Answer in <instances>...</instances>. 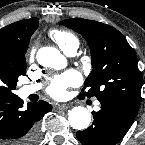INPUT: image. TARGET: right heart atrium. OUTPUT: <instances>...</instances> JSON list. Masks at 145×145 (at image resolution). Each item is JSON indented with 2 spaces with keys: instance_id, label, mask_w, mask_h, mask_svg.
<instances>
[{
  "instance_id": "right-heart-atrium-1",
  "label": "right heart atrium",
  "mask_w": 145,
  "mask_h": 145,
  "mask_svg": "<svg viewBox=\"0 0 145 145\" xmlns=\"http://www.w3.org/2000/svg\"><path fill=\"white\" fill-rule=\"evenodd\" d=\"M30 55H31V56L34 55V49H32V50L30 51Z\"/></svg>"
}]
</instances>
